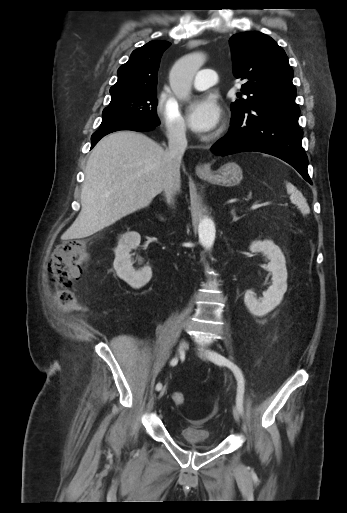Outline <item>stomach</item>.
Returning <instances> with one entry per match:
<instances>
[{
  "label": "stomach",
  "instance_id": "obj_1",
  "mask_svg": "<svg viewBox=\"0 0 347 513\" xmlns=\"http://www.w3.org/2000/svg\"><path fill=\"white\" fill-rule=\"evenodd\" d=\"M201 178L215 185L231 187L241 182L243 172L238 164L228 162L222 165L217 171Z\"/></svg>",
  "mask_w": 347,
  "mask_h": 513
}]
</instances>
